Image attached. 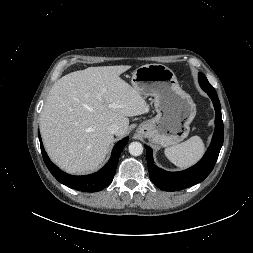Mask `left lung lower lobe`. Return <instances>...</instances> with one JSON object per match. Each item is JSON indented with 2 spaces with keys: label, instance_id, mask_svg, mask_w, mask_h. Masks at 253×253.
Segmentation results:
<instances>
[{
  "label": "left lung lower lobe",
  "instance_id": "obj_1",
  "mask_svg": "<svg viewBox=\"0 0 253 253\" xmlns=\"http://www.w3.org/2000/svg\"><path fill=\"white\" fill-rule=\"evenodd\" d=\"M201 88L211 98L216 112L214 135L210 147L201 161L187 170L168 172L158 168L154 164L152 150L149 146H145L150 179L158 188L164 191L182 190L203 181L212 171L222 147L224 129L221 116V105L217 93L212 86H202Z\"/></svg>",
  "mask_w": 253,
  "mask_h": 253
}]
</instances>
